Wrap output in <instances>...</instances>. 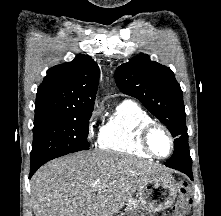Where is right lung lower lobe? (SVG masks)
Masks as SVG:
<instances>
[{
    "mask_svg": "<svg viewBox=\"0 0 221 216\" xmlns=\"http://www.w3.org/2000/svg\"><path fill=\"white\" fill-rule=\"evenodd\" d=\"M40 166H41V165H34V166H31V168H30L29 178H31V176L35 173V171H36Z\"/></svg>",
    "mask_w": 221,
    "mask_h": 216,
    "instance_id": "obj_1",
    "label": "right lung lower lobe"
}]
</instances>
